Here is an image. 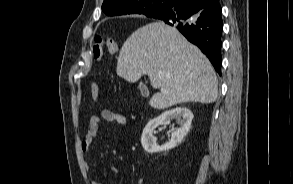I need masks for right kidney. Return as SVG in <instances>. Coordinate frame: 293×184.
<instances>
[{
  "label": "right kidney",
  "mask_w": 293,
  "mask_h": 184,
  "mask_svg": "<svg viewBox=\"0 0 293 184\" xmlns=\"http://www.w3.org/2000/svg\"><path fill=\"white\" fill-rule=\"evenodd\" d=\"M172 119H177L179 127L177 129H171V139L169 142L162 146L157 145V139L153 136L154 129L159 125H169ZM192 119L193 114L186 107H178L163 112L158 117L150 120L145 126L141 136L142 147L148 153L162 152L175 148L189 132Z\"/></svg>",
  "instance_id": "1"
}]
</instances>
